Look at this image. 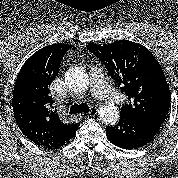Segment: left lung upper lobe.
I'll list each match as a JSON object with an SVG mask.
<instances>
[{
  "label": "left lung upper lobe",
  "mask_w": 178,
  "mask_h": 178,
  "mask_svg": "<svg viewBox=\"0 0 178 178\" xmlns=\"http://www.w3.org/2000/svg\"><path fill=\"white\" fill-rule=\"evenodd\" d=\"M87 49L105 65L109 75L128 96L120 117L161 123L165 120L171 92L159 62L147 48L119 40L103 46L89 43Z\"/></svg>",
  "instance_id": "left-lung-upper-lobe-1"
}]
</instances>
